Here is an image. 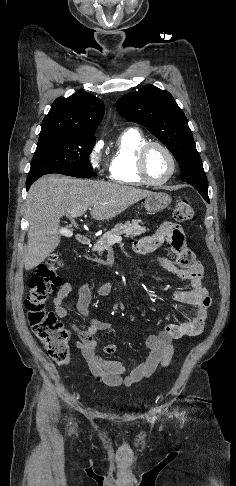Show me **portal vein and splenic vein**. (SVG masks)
Masks as SVG:
<instances>
[{
    "label": "portal vein and splenic vein",
    "mask_w": 236,
    "mask_h": 486,
    "mask_svg": "<svg viewBox=\"0 0 236 486\" xmlns=\"http://www.w3.org/2000/svg\"><path fill=\"white\" fill-rule=\"evenodd\" d=\"M87 208H80V209H75L70 212V217L76 218L82 216L86 212ZM114 241L116 242H121L122 237L121 236H116L113 238Z\"/></svg>",
    "instance_id": "18ae733b"
}]
</instances>
